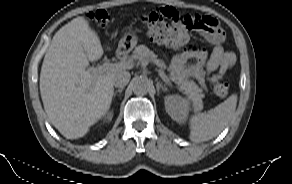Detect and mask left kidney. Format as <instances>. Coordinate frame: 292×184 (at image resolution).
I'll return each instance as SVG.
<instances>
[{"mask_svg": "<svg viewBox=\"0 0 292 184\" xmlns=\"http://www.w3.org/2000/svg\"><path fill=\"white\" fill-rule=\"evenodd\" d=\"M168 115L176 122L183 123L190 110V103L180 95H168L164 99Z\"/></svg>", "mask_w": 292, "mask_h": 184, "instance_id": "left-kidney-1", "label": "left kidney"}]
</instances>
